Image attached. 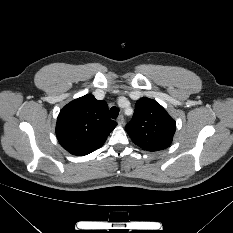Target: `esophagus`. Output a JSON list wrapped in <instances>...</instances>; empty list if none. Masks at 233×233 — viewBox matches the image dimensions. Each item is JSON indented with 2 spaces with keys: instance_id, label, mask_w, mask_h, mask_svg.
Masks as SVG:
<instances>
[{
  "instance_id": "34e87169",
  "label": "esophagus",
  "mask_w": 233,
  "mask_h": 233,
  "mask_svg": "<svg viewBox=\"0 0 233 233\" xmlns=\"http://www.w3.org/2000/svg\"><path fill=\"white\" fill-rule=\"evenodd\" d=\"M118 125H123L124 124V117L123 115H120L117 119Z\"/></svg>"
}]
</instances>
